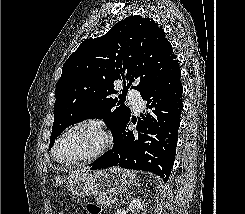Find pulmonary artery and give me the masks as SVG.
Returning a JSON list of instances; mask_svg holds the SVG:
<instances>
[{
	"label": "pulmonary artery",
	"instance_id": "pulmonary-artery-1",
	"mask_svg": "<svg viewBox=\"0 0 245 214\" xmlns=\"http://www.w3.org/2000/svg\"><path fill=\"white\" fill-rule=\"evenodd\" d=\"M128 100L132 107L135 109V111H139L140 107L143 104L140 93L137 91H131L129 93Z\"/></svg>",
	"mask_w": 245,
	"mask_h": 214
}]
</instances>
